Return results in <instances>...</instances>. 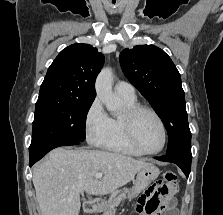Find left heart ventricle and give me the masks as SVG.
<instances>
[{
  "label": "left heart ventricle",
  "instance_id": "obj_1",
  "mask_svg": "<svg viewBox=\"0 0 223 215\" xmlns=\"http://www.w3.org/2000/svg\"><path fill=\"white\" fill-rule=\"evenodd\" d=\"M134 138L141 151H154L161 143V131L156 120L148 113L141 114L134 127Z\"/></svg>",
  "mask_w": 223,
  "mask_h": 215
}]
</instances>
